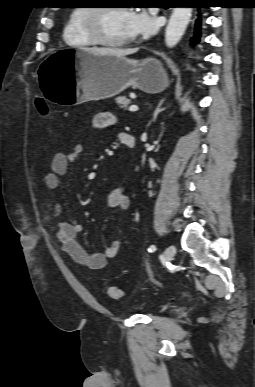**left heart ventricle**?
Masks as SVG:
<instances>
[{
  "instance_id": "obj_1",
  "label": "left heart ventricle",
  "mask_w": 255,
  "mask_h": 387,
  "mask_svg": "<svg viewBox=\"0 0 255 387\" xmlns=\"http://www.w3.org/2000/svg\"><path fill=\"white\" fill-rule=\"evenodd\" d=\"M128 11L114 8L105 11L101 17V29L104 35L113 40L130 38L128 29Z\"/></svg>"
}]
</instances>
